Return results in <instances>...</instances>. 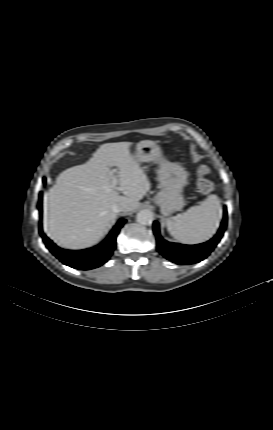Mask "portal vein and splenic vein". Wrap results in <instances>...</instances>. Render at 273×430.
<instances>
[{
	"label": "portal vein and splenic vein",
	"instance_id": "obj_1",
	"mask_svg": "<svg viewBox=\"0 0 273 430\" xmlns=\"http://www.w3.org/2000/svg\"><path fill=\"white\" fill-rule=\"evenodd\" d=\"M114 172H115V170H112V171H111V178H112L113 184H114V185H116L117 180H116V178L113 176V173H114ZM116 189H117V190H121V188H119V187H116Z\"/></svg>",
	"mask_w": 273,
	"mask_h": 430
}]
</instances>
